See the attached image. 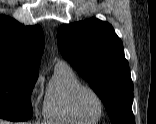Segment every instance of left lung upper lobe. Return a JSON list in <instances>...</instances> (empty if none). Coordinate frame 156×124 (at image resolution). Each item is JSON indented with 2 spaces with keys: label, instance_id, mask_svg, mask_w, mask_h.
<instances>
[{
  "label": "left lung upper lobe",
  "instance_id": "1",
  "mask_svg": "<svg viewBox=\"0 0 156 124\" xmlns=\"http://www.w3.org/2000/svg\"><path fill=\"white\" fill-rule=\"evenodd\" d=\"M57 43L62 56L101 98L111 124H135L129 64L113 27L95 18L64 24Z\"/></svg>",
  "mask_w": 156,
  "mask_h": 124
}]
</instances>
